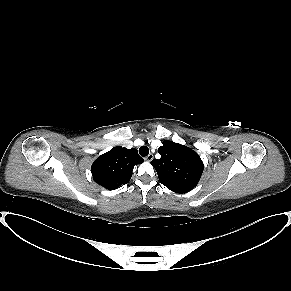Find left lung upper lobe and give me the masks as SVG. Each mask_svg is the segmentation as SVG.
<instances>
[{
	"mask_svg": "<svg viewBox=\"0 0 291 291\" xmlns=\"http://www.w3.org/2000/svg\"><path fill=\"white\" fill-rule=\"evenodd\" d=\"M158 152L161 158L152 160L151 164L164 186L176 193H187L198 184L204 166L194 150L165 140Z\"/></svg>",
	"mask_w": 291,
	"mask_h": 291,
	"instance_id": "1",
	"label": "left lung upper lobe"
}]
</instances>
